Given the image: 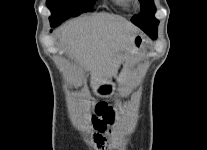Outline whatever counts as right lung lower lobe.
<instances>
[{"label": "right lung lower lobe", "mask_w": 207, "mask_h": 150, "mask_svg": "<svg viewBox=\"0 0 207 150\" xmlns=\"http://www.w3.org/2000/svg\"><path fill=\"white\" fill-rule=\"evenodd\" d=\"M51 26H52V27H56V26H58V25H56V24H54V23H51Z\"/></svg>", "instance_id": "right-lung-lower-lobe-1"}]
</instances>
